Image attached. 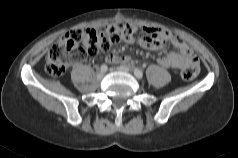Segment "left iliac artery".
<instances>
[{
  "label": "left iliac artery",
  "instance_id": "obj_1",
  "mask_svg": "<svg viewBox=\"0 0 238 158\" xmlns=\"http://www.w3.org/2000/svg\"><path fill=\"white\" fill-rule=\"evenodd\" d=\"M134 74L137 78H142L143 77V72L138 69V68H133Z\"/></svg>",
  "mask_w": 238,
  "mask_h": 158
}]
</instances>
